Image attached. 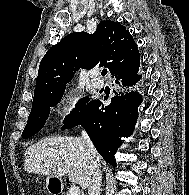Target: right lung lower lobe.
Instances as JSON below:
<instances>
[{
	"instance_id": "right-lung-lower-lobe-1",
	"label": "right lung lower lobe",
	"mask_w": 189,
	"mask_h": 195,
	"mask_svg": "<svg viewBox=\"0 0 189 195\" xmlns=\"http://www.w3.org/2000/svg\"><path fill=\"white\" fill-rule=\"evenodd\" d=\"M138 70L139 67L125 77H116L120 92H115L110 105L92 100L61 128L70 129L81 124L97 151L112 166H116L114 155L121 145L120 137L129 136L135 128L138 106L142 102V95L133 90L142 78Z\"/></svg>"
}]
</instances>
